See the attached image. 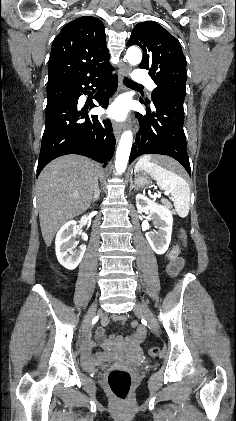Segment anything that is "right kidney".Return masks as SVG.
<instances>
[{
  "mask_svg": "<svg viewBox=\"0 0 236 421\" xmlns=\"http://www.w3.org/2000/svg\"><path fill=\"white\" fill-rule=\"evenodd\" d=\"M80 231L77 227V221H69L61 227L56 235L55 251L56 257L65 269L73 271L81 263V259L86 251V245H81L79 249H75L78 241H76Z\"/></svg>",
  "mask_w": 236,
  "mask_h": 421,
  "instance_id": "1",
  "label": "right kidney"
}]
</instances>
